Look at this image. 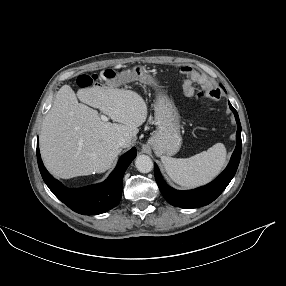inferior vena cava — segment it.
I'll return each mask as SVG.
<instances>
[{
	"label": "inferior vena cava",
	"mask_w": 286,
	"mask_h": 286,
	"mask_svg": "<svg viewBox=\"0 0 286 286\" xmlns=\"http://www.w3.org/2000/svg\"><path fill=\"white\" fill-rule=\"evenodd\" d=\"M117 146L118 147H126L127 146V142H126V139H124V138H119L118 140H117Z\"/></svg>",
	"instance_id": "602c4592"
}]
</instances>
